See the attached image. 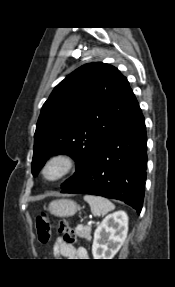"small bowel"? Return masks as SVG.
<instances>
[{"mask_svg": "<svg viewBox=\"0 0 175 287\" xmlns=\"http://www.w3.org/2000/svg\"><path fill=\"white\" fill-rule=\"evenodd\" d=\"M55 256H61L69 259H87L88 252L85 248L67 244L62 237L56 238L53 246Z\"/></svg>", "mask_w": 175, "mask_h": 287, "instance_id": "small-bowel-1", "label": "small bowel"}]
</instances>
